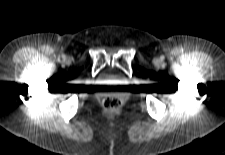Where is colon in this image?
<instances>
[{
    "instance_id": "5ec220e1",
    "label": "colon",
    "mask_w": 225,
    "mask_h": 155,
    "mask_svg": "<svg viewBox=\"0 0 225 155\" xmlns=\"http://www.w3.org/2000/svg\"><path fill=\"white\" fill-rule=\"evenodd\" d=\"M103 105L107 110L113 111L120 107L121 101L116 97H107L104 99Z\"/></svg>"
}]
</instances>
